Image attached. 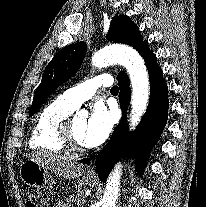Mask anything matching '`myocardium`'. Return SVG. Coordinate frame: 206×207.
I'll return each instance as SVG.
<instances>
[{
	"label": "myocardium",
	"mask_w": 206,
	"mask_h": 207,
	"mask_svg": "<svg viewBox=\"0 0 206 207\" xmlns=\"http://www.w3.org/2000/svg\"><path fill=\"white\" fill-rule=\"evenodd\" d=\"M74 117L68 116L58 128V139L65 149L70 153H84L87 151V147L80 145L74 138L72 123Z\"/></svg>",
	"instance_id": "myocardium-1"
}]
</instances>
